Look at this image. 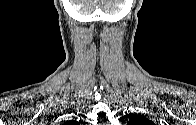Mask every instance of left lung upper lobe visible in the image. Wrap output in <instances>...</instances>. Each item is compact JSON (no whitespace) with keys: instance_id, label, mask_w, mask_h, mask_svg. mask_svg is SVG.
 Wrapping results in <instances>:
<instances>
[{"instance_id":"obj_1","label":"left lung upper lobe","mask_w":196,"mask_h":125,"mask_svg":"<svg viewBox=\"0 0 196 125\" xmlns=\"http://www.w3.org/2000/svg\"><path fill=\"white\" fill-rule=\"evenodd\" d=\"M152 122L149 121L148 119L139 116V115H134L130 118L129 120V125H150Z\"/></svg>"}]
</instances>
